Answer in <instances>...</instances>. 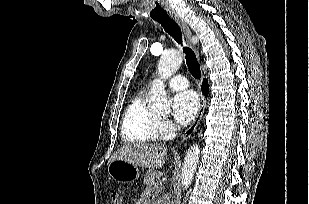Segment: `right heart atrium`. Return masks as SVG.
I'll use <instances>...</instances> for the list:
<instances>
[{
    "instance_id": "d8ad5b80",
    "label": "right heart atrium",
    "mask_w": 309,
    "mask_h": 204,
    "mask_svg": "<svg viewBox=\"0 0 309 204\" xmlns=\"http://www.w3.org/2000/svg\"><path fill=\"white\" fill-rule=\"evenodd\" d=\"M175 127L174 125L166 119H159L156 133L158 138H168L174 134Z\"/></svg>"
}]
</instances>
